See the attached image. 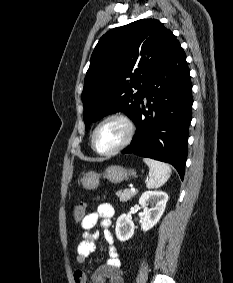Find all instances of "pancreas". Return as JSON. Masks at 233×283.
<instances>
[{
  "mask_svg": "<svg viewBox=\"0 0 233 283\" xmlns=\"http://www.w3.org/2000/svg\"><path fill=\"white\" fill-rule=\"evenodd\" d=\"M137 194V192H132L129 189H125L124 191H118L116 192V195L119 197L121 202H127L132 197H134Z\"/></svg>",
  "mask_w": 233,
  "mask_h": 283,
  "instance_id": "1",
  "label": "pancreas"
}]
</instances>
